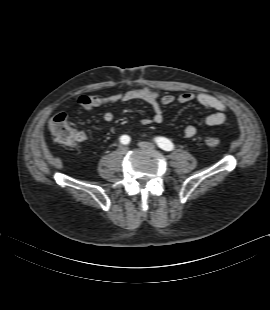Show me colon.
<instances>
[{
    "mask_svg": "<svg viewBox=\"0 0 270 310\" xmlns=\"http://www.w3.org/2000/svg\"><path fill=\"white\" fill-rule=\"evenodd\" d=\"M49 130L58 143L76 146L79 140V133L69 123L68 115L64 112L54 115L48 124ZM203 143L208 148L219 146L220 139L217 136L209 135L204 137Z\"/></svg>",
    "mask_w": 270,
    "mask_h": 310,
    "instance_id": "5ec220e1",
    "label": "colon"
}]
</instances>
